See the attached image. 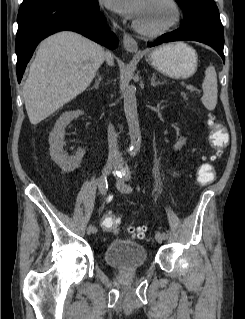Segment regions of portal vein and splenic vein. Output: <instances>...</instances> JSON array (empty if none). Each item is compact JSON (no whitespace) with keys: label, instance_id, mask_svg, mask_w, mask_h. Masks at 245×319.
<instances>
[{"label":"portal vein and splenic vein","instance_id":"1","mask_svg":"<svg viewBox=\"0 0 245 319\" xmlns=\"http://www.w3.org/2000/svg\"><path fill=\"white\" fill-rule=\"evenodd\" d=\"M186 88L189 89V90H194V89H195V88H194L193 86H191V85H187Z\"/></svg>","mask_w":245,"mask_h":319}]
</instances>
